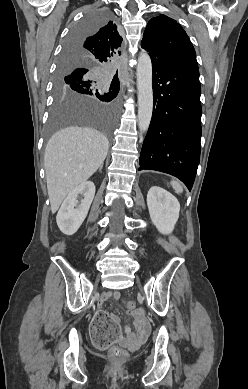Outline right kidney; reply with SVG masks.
<instances>
[{
  "label": "right kidney",
  "instance_id": "obj_1",
  "mask_svg": "<svg viewBox=\"0 0 248 389\" xmlns=\"http://www.w3.org/2000/svg\"><path fill=\"white\" fill-rule=\"evenodd\" d=\"M80 195H83L84 198L78 205L77 198ZM94 195L95 185L91 181L80 184L68 194L56 216V222L61 232L73 235L79 229L88 214Z\"/></svg>",
  "mask_w": 248,
  "mask_h": 389
}]
</instances>
